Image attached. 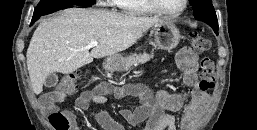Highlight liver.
<instances>
[{
	"instance_id": "1",
	"label": "liver",
	"mask_w": 257,
	"mask_h": 130,
	"mask_svg": "<svg viewBox=\"0 0 257 130\" xmlns=\"http://www.w3.org/2000/svg\"><path fill=\"white\" fill-rule=\"evenodd\" d=\"M163 22L153 17L123 15L106 10L70 8L43 20L27 49V68L35 94L55 72L70 74L99 59L131 47L149 28ZM91 41L98 45L85 50Z\"/></svg>"
}]
</instances>
